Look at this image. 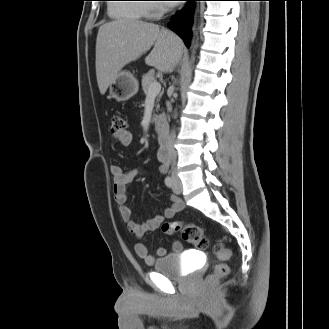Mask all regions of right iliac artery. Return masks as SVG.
<instances>
[{
	"label": "right iliac artery",
	"instance_id": "1",
	"mask_svg": "<svg viewBox=\"0 0 329 329\" xmlns=\"http://www.w3.org/2000/svg\"><path fill=\"white\" fill-rule=\"evenodd\" d=\"M173 178L171 176H167L165 178V184L167 187L171 188L173 186Z\"/></svg>",
	"mask_w": 329,
	"mask_h": 329
}]
</instances>
